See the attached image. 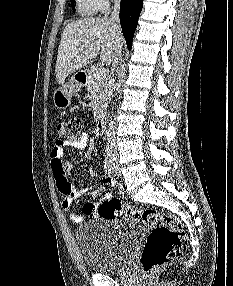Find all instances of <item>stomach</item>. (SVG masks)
<instances>
[{
	"label": "stomach",
	"instance_id": "obj_1",
	"mask_svg": "<svg viewBox=\"0 0 233 286\" xmlns=\"http://www.w3.org/2000/svg\"><path fill=\"white\" fill-rule=\"evenodd\" d=\"M74 86L71 83H63L61 87L56 89L53 93V104L59 110L66 109L75 94Z\"/></svg>",
	"mask_w": 233,
	"mask_h": 286
}]
</instances>
